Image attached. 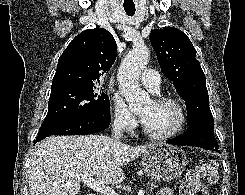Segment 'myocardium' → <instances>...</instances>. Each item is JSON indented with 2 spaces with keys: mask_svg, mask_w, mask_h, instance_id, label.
<instances>
[{
  "mask_svg": "<svg viewBox=\"0 0 245 195\" xmlns=\"http://www.w3.org/2000/svg\"><path fill=\"white\" fill-rule=\"evenodd\" d=\"M153 102L156 104H168L174 106L178 110L180 115L179 122L173 130L166 133L151 132L143 123L142 130L144 134L147 135L149 138L156 140H165L180 134L185 129L188 123V114L183 104L179 100L169 96L158 97Z\"/></svg>",
  "mask_w": 245,
  "mask_h": 195,
  "instance_id": "f54148a6",
  "label": "myocardium"
}]
</instances>
